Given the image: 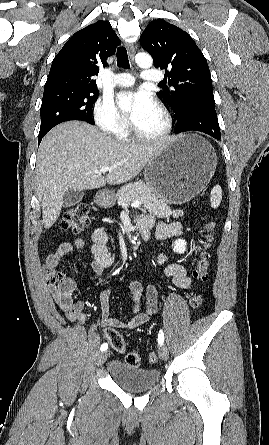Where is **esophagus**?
Here are the masks:
<instances>
[{
	"label": "esophagus",
	"instance_id": "obj_1",
	"mask_svg": "<svg viewBox=\"0 0 269 445\" xmlns=\"http://www.w3.org/2000/svg\"><path fill=\"white\" fill-rule=\"evenodd\" d=\"M126 48L128 50L129 56L131 57V59H134L135 56V48L132 44H127Z\"/></svg>",
	"mask_w": 269,
	"mask_h": 445
}]
</instances>
